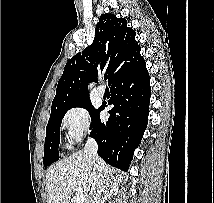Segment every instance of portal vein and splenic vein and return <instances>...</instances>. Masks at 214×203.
<instances>
[{
	"instance_id": "portal-vein-and-splenic-vein-1",
	"label": "portal vein and splenic vein",
	"mask_w": 214,
	"mask_h": 203,
	"mask_svg": "<svg viewBox=\"0 0 214 203\" xmlns=\"http://www.w3.org/2000/svg\"><path fill=\"white\" fill-rule=\"evenodd\" d=\"M76 196L75 202L76 203H83L85 201V195L83 194V189L81 187H76Z\"/></svg>"
}]
</instances>
